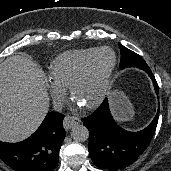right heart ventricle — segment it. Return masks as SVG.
Returning a JSON list of instances; mask_svg holds the SVG:
<instances>
[{
  "mask_svg": "<svg viewBox=\"0 0 171 171\" xmlns=\"http://www.w3.org/2000/svg\"><path fill=\"white\" fill-rule=\"evenodd\" d=\"M94 51V48H87L66 51L58 55L50 67L51 80L57 84L69 87L74 75Z\"/></svg>",
  "mask_w": 171,
  "mask_h": 171,
  "instance_id": "1",
  "label": "right heart ventricle"
}]
</instances>
